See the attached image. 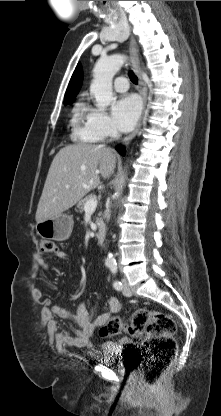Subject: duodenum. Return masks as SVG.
Listing matches in <instances>:
<instances>
[{
	"mask_svg": "<svg viewBox=\"0 0 221 416\" xmlns=\"http://www.w3.org/2000/svg\"><path fill=\"white\" fill-rule=\"evenodd\" d=\"M105 236H106V226L104 223H99L97 226V234H96L97 240L99 242H103L105 239Z\"/></svg>",
	"mask_w": 221,
	"mask_h": 416,
	"instance_id": "410a0bca",
	"label": "duodenum"
}]
</instances>
